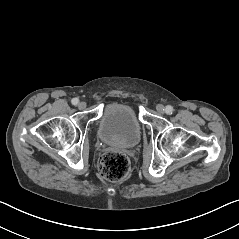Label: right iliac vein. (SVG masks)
Wrapping results in <instances>:
<instances>
[{
  "label": "right iliac vein",
  "instance_id": "63e3f726",
  "mask_svg": "<svg viewBox=\"0 0 239 239\" xmlns=\"http://www.w3.org/2000/svg\"><path fill=\"white\" fill-rule=\"evenodd\" d=\"M78 108H79V109H85V108H86V103H85V102H80V103L78 104Z\"/></svg>",
  "mask_w": 239,
  "mask_h": 239
}]
</instances>
